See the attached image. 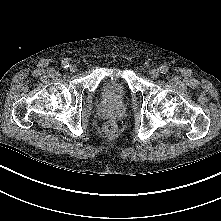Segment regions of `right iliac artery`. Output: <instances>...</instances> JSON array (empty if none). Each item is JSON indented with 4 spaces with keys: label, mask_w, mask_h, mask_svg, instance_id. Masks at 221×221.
I'll use <instances>...</instances> for the list:
<instances>
[{
    "label": "right iliac artery",
    "mask_w": 221,
    "mask_h": 221,
    "mask_svg": "<svg viewBox=\"0 0 221 221\" xmlns=\"http://www.w3.org/2000/svg\"><path fill=\"white\" fill-rule=\"evenodd\" d=\"M62 66H63L64 68L69 67V62H68L67 59H65V60L62 61Z\"/></svg>",
    "instance_id": "1"
}]
</instances>
